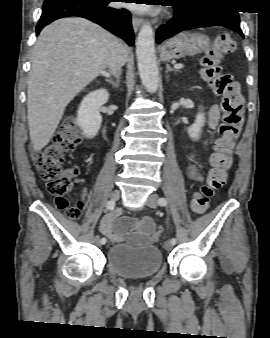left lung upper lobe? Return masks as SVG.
<instances>
[{
  "mask_svg": "<svg viewBox=\"0 0 270 338\" xmlns=\"http://www.w3.org/2000/svg\"><path fill=\"white\" fill-rule=\"evenodd\" d=\"M181 1H190L191 5H200L204 3H210V2H214V3L227 2L228 0H181Z\"/></svg>",
  "mask_w": 270,
  "mask_h": 338,
  "instance_id": "1",
  "label": "left lung upper lobe"
}]
</instances>
